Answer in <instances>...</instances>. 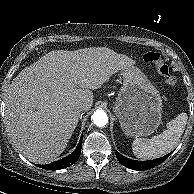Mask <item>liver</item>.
Instances as JSON below:
<instances>
[{
  "instance_id": "liver-1",
  "label": "liver",
  "mask_w": 194,
  "mask_h": 194,
  "mask_svg": "<svg viewBox=\"0 0 194 194\" xmlns=\"http://www.w3.org/2000/svg\"><path fill=\"white\" fill-rule=\"evenodd\" d=\"M135 62L105 47L56 50L24 68L5 99V124L15 148L32 162L46 164L65 150L83 104L93 105L91 90Z\"/></svg>"
}]
</instances>
